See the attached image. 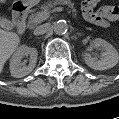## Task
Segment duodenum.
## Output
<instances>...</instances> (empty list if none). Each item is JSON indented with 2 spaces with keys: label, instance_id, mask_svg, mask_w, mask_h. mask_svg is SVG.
<instances>
[{
  "label": "duodenum",
  "instance_id": "410a0bca",
  "mask_svg": "<svg viewBox=\"0 0 119 119\" xmlns=\"http://www.w3.org/2000/svg\"><path fill=\"white\" fill-rule=\"evenodd\" d=\"M28 15V8L25 4L17 3L14 8V19L17 23L18 30L23 32L26 28V18Z\"/></svg>",
  "mask_w": 119,
  "mask_h": 119
}]
</instances>
